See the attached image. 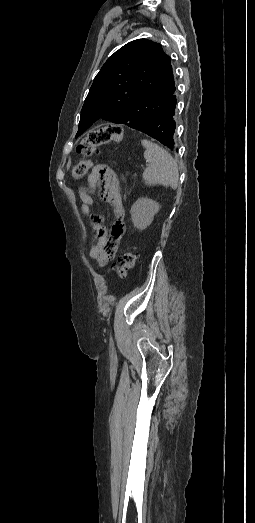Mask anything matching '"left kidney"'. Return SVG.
Masks as SVG:
<instances>
[{"label":"left kidney","instance_id":"5707ae66","mask_svg":"<svg viewBox=\"0 0 255 523\" xmlns=\"http://www.w3.org/2000/svg\"><path fill=\"white\" fill-rule=\"evenodd\" d=\"M159 204L149 198H138L137 202L133 204L130 214L135 228L138 230H145L150 226L155 214L159 212Z\"/></svg>","mask_w":255,"mask_h":523}]
</instances>
